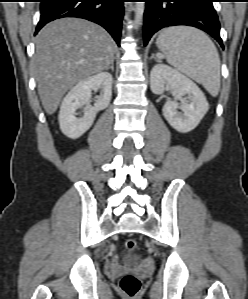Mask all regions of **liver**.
<instances>
[{"instance_id": "liver-1", "label": "liver", "mask_w": 248, "mask_h": 299, "mask_svg": "<svg viewBox=\"0 0 248 299\" xmlns=\"http://www.w3.org/2000/svg\"><path fill=\"white\" fill-rule=\"evenodd\" d=\"M113 46L105 29L79 18L55 20L38 33L32 65L47 114L75 84L111 65Z\"/></svg>"}]
</instances>
